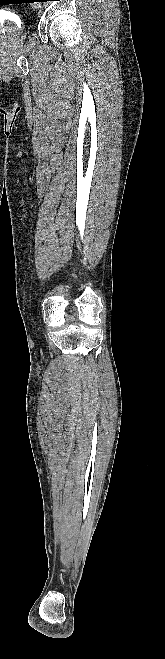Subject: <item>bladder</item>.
<instances>
[{
  "label": "bladder",
  "mask_w": 165,
  "mask_h": 659,
  "mask_svg": "<svg viewBox=\"0 0 165 659\" xmlns=\"http://www.w3.org/2000/svg\"><path fill=\"white\" fill-rule=\"evenodd\" d=\"M25 29L24 27H19V25L16 22H12L11 26H8L6 24L0 25V35H3L5 33L9 37L17 38L20 37L22 34H24Z\"/></svg>",
  "instance_id": "obj_1"
}]
</instances>
